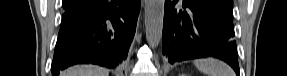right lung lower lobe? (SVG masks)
I'll return each instance as SVG.
<instances>
[{
    "mask_svg": "<svg viewBox=\"0 0 287 76\" xmlns=\"http://www.w3.org/2000/svg\"><path fill=\"white\" fill-rule=\"evenodd\" d=\"M140 0H82L62 17L52 75L77 63L116 68L127 58Z\"/></svg>",
    "mask_w": 287,
    "mask_h": 76,
    "instance_id": "right-lung-lower-lobe-1",
    "label": "right lung lower lobe"
}]
</instances>
